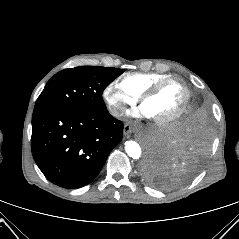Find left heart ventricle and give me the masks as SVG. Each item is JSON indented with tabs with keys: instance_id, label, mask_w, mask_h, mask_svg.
Listing matches in <instances>:
<instances>
[{
	"instance_id": "b2bd125f",
	"label": "left heart ventricle",
	"mask_w": 239,
	"mask_h": 239,
	"mask_svg": "<svg viewBox=\"0 0 239 239\" xmlns=\"http://www.w3.org/2000/svg\"><path fill=\"white\" fill-rule=\"evenodd\" d=\"M184 100L185 90L183 86L180 83L173 82L147 99L142 106L150 118H164L177 112Z\"/></svg>"
}]
</instances>
